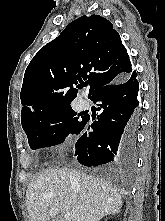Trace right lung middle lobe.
<instances>
[{"mask_svg":"<svg viewBox=\"0 0 165 221\" xmlns=\"http://www.w3.org/2000/svg\"><path fill=\"white\" fill-rule=\"evenodd\" d=\"M86 118L68 106L38 115L22 123V127L31 149L35 150L60 144L70 133L77 134Z\"/></svg>","mask_w":165,"mask_h":221,"instance_id":"right-lung-middle-lobe-1","label":"right lung middle lobe"}]
</instances>
